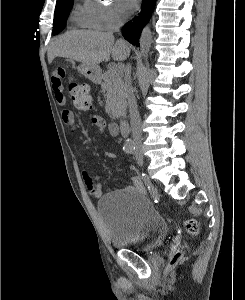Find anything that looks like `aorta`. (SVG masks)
<instances>
[{
  "mask_svg": "<svg viewBox=\"0 0 245 300\" xmlns=\"http://www.w3.org/2000/svg\"><path fill=\"white\" fill-rule=\"evenodd\" d=\"M152 43V35L151 30L149 27H145L142 31L141 38H140V47H141V54L145 58L147 57L150 47ZM133 145V142L131 140L125 141L126 147H131Z\"/></svg>",
  "mask_w": 245,
  "mask_h": 300,
  "instance_id": "aorta-1",
  "label": "aorta"
}]
</instances>
